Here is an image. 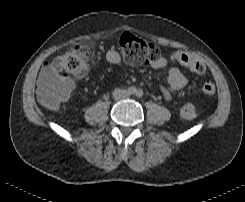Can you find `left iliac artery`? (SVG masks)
I'll return each mask as SVG.
<instances>
[{
	"instance_id": "44dca946",
	"label": "left iliac artery",
	"mask_w": 245,
	"mask_h": 202,
	"mask_svg": "<svg viewBox=\"0 0 245 202\" xmlns=\"http://www.w3.org/2000/svg\"><path fill=\"white\" fill-rule=\"evenodd\" d=\"M136 96L137 97H142L143 96V91L141 89L136 90Z\"/></svg>"
}]
</instances>
